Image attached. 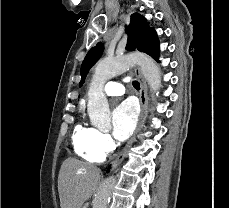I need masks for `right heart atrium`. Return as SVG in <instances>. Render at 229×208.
I'll list each match as a JSON object with an SVG mask.
<instances>
[{"instance_id":"obj_1","label":"right heart atrium","mask_w":229,"mask_h":208,"mask_svg":"<svg viewBox=\"0 0 229 208\" xmlns=\"http://www.w3.org/2000/svg\"><path fill=\"white\" fill-rule=\"evenodd\" d=\"M95 147L103 154L110 153L114 149V141L108 133L97 131L95 134Z\"/></svg>"}]
</instances>
